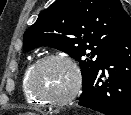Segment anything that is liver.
<instances>
[{
	"instance_id": "6515ba94",
	"label": "liver",
	"mask_w": 131,
	"mask_h": 115,
	"mask_svg": "<svg viewBox=\"0 0 131 115\" xmlns=\"http://www.w3.org/2000/svg\"><path fill=\"white\" fill-rule=\"evenodd\" d=\"M26 115H34L33 113H27Z\"/></svg>"
}]
</instances>
